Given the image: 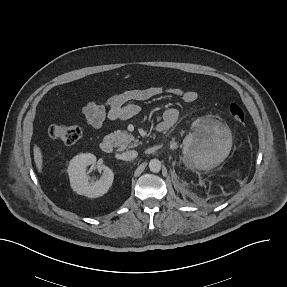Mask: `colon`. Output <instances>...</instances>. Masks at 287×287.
I'll list each match as a JSON object with an SVG mask.
<instances>
[{"instance_id":"5ec220e1","label":"colon","mask_w":287,"mask_h":287,"mask_svg":"<svg viewBox=\"0 0 287 287\" xmlns=\"http://www.w3.org/2000/svg\"><path fill=\"white\" fill-rule=\"evenodd\" d=\"M229 115L238 123H244L245 112L238 103H231L228 107ZM52 139L58 140L66 145L75 144L82 136V129L77 125L53 124L49 129Z\"/></svg>"}]
</instances>
